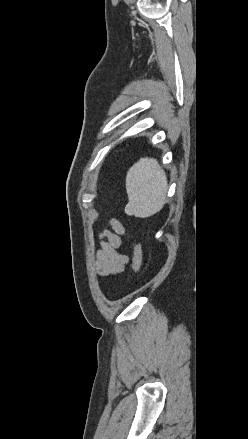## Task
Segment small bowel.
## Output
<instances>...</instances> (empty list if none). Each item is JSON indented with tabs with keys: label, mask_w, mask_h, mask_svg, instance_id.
Segmentation results:
<instances>
[{
	"label": "small bowel",
	"mask_w": 248,
	"mask_h": 439,
	"mask_svg": "<svg viewBox=\"0 0 248 439\" xmlns=\"http://www.w3.org/2000/svg\"><path fill=\"white\" fill-rule=\"evenodd\" d=\"M109 226L111 229L100 233V247L96 252V270L101 276H116L123 273L129 261L128 256L119 251L122 237L126 233L125 227L117 219H111Z\"/></svg>",
	"instance_id": "c3829d8e"
}]
</instances>
